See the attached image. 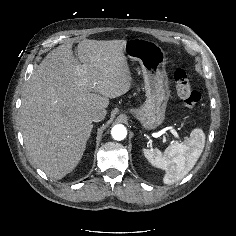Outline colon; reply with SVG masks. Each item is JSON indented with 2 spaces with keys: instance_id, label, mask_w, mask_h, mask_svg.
<instances>
[{
  "instance_id": "1",
  "label": "colon",
  "mask_w": 236,
  "mask_h": 236,
  "mask_svg": "<svg viewBox=\"0 0 236 236\" xmlns=\"http://www.w3.org/2000/svg\"><path fill=\"white\" fill-rule=\"evenodd\" d=\"M176 93L183 104L193 109L200 101V94L193 89L190 78L184 69H177L174 74Z\"/></svg>"
}]
</instances>
